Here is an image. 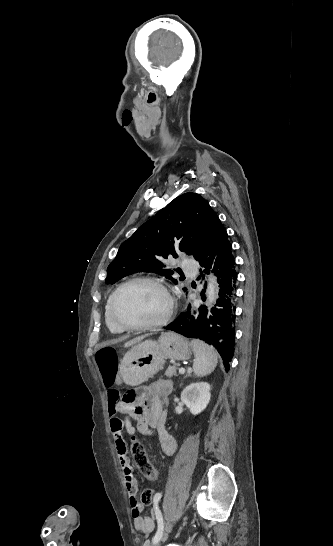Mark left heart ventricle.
<instances>
[{"label": "left heart ventricle", "mask_w": 333, "mask_h": 546, "mask_svg": "<svg viewBox=\"0 0 333 546\" xmlns=\"http://www.w3.org/2000/svg\"><path fill=\"white\" fill-rule=\"evenodd\" d=\"M168 308L164 292L149 283H133L119 294L116 313L126 324L136 325L159 320Z\"/></svg>", "instance_id": "1"}]
</instances>
